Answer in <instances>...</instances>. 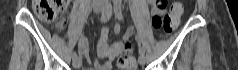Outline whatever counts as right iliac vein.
I'll list each match as a JSON object with an SVG mask.
<instances>
[{"mask_svg":"<svg viewBox=\"0 0 238 70\" xmlns=\"http://www.w3.org/2000/svg\"><path fill=\"white\" fill-rule=\"evenodd\" d=\"M94 12L98 13L104 10V7L100 4H94L93 5ZM82 65V60L79 57L73 58V66L74 68L78 69Z\"/></svg>","mask_w":238,"mask_h":70,"instance_id":"1","label":"right iliac vein"}]
</instances>
